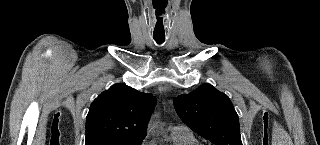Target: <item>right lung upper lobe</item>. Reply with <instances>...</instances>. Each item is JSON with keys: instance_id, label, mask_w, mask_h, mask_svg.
I'll return each mask as SVG.
<instances>
[{"instance_id": "right-lung-upper-lobe-1", "label": "right lung upper lobe", "mask_w": 320, "mask_h": 145, "mask_svg": "<svg viewBox=\"0 0 320 145\" xmlns=\"http://www.w3.org/2000/svg\"><path fill=\"white\" fill-rule=\"evenodd\" d=\"M155 105L151 94L122 83L111 86L90 106L85 145L100 140H143Z\"/></svg>"}]
</instances>
